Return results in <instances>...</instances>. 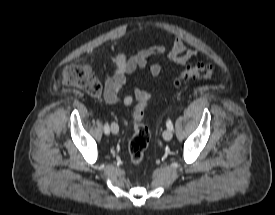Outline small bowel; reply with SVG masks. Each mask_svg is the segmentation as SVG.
I'll list each match as a JSON object with an SVG mask.
<instances>
[{
  "instance_id": "obj_1",
  "label": "small bowel",
  "mask_w": 275,
  "mask_h": 215,
  "mask_svg": "<svg viewBox=\"0 0 275 215\" xmlns=\"http://www.w3.org/2000/svg\"><path fill=\"white\" fill-rule=\"evenodd\" d=\"M198 53L199 50L197 48H187L183 41L177 37L173 39V45L167 53L160 46L138 49L129 58L124 53L117 52L111 59L114 67L113 75L106 78L104 83L105 102L114 105L121 99L125 105H132L133 97L124 92L127 77L135 73L137 69H147L152 76H158L161 72V65L158 62L150 63V59L166 54L172 63L182 66L191 58L197 56ZM134 97L138 101L148 100L151 97V93L144 89L136 88Z\"/></svg>"
}]
</instances>
